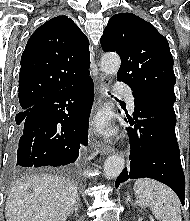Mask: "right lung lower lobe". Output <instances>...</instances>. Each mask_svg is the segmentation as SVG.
<instances>
[{"instance_id": "right-lung-lower-lobe-1", "label": "right lung lower lobe", "mask_w": 190, "mask_h": 221, "mask_svg": "<svg viewBox=\"0 0 190 221\" xmlns=\"http://www.w3.org/2000/svg\"><path fill=\"white\" fill-rule=\"evenodd\" d=\"M93 100V81L88 77L22 111L24 120L16 131L11 165L22 169L75 162L79 149L88 142Z\"/></svg>"}]
</instances>
